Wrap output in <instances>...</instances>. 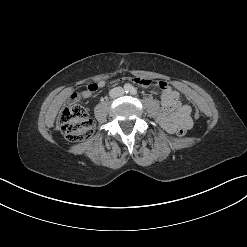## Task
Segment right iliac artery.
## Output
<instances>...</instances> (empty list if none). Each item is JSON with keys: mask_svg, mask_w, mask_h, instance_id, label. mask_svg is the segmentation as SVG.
Segmentation results:
<instances>
[{"mask_svg": "<svg viewBox=\"0 0 247 247\" xmlns=\"http://www.w3.org/2000/svg\"><path fill=\"white\" fill-rule=\"evenodd\" d=\"M124 90H125V92H129L131 90V86L130 85H126L124 87Z\"/></svg>", "mask_w": 247, "mask_h": 247, "instance_id": "obj_1", "label": "right iliac artery"}]
</instances>
